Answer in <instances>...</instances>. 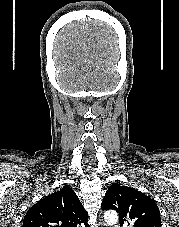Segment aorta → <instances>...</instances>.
Masks as SVG:
<instances>
[{"label": "aorta", "instance_id": "aorta-1", "mask_svg": "<svg viewBox=\"0 0 179 227\" xmlns=\"http://www.w3.org/2000/svg\"><path fill=\"white\" fill-rule=\"evenodd\" d=\"M104 219L110 224H116L118 221V214L115 211H107L104 214Z\"/></svg>", "mask_w": 179, "mask_h": 227}]
</instances>
